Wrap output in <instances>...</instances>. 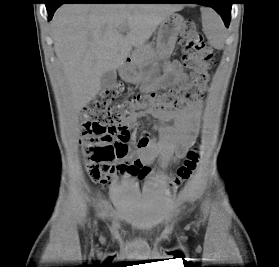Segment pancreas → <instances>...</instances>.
<instances>
[{"instance_id":"cf45deb5","label":"pancreas","mask_w":279,"mask_h":267,"mask_svg":"<svg viewBox=\"0 0 279 267\" xmlns=\"http://www.w3.org/2000/svg\"><path fill=\"white\" fill-rule=\"evenodd\" d=\"M133 60L135 64H140L142 62L152 60L157 56V53L152 49L151 45H141L134 50Z\"/></svg>"}]
</instances>
